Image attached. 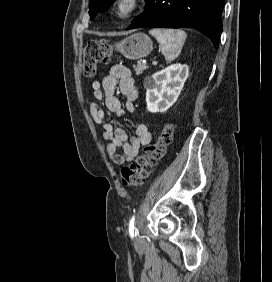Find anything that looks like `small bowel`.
<instances>
[{
	"instance_id": "c3829d8e",
	"label": "small bowel",
	"mask_w": 272,
	"mask_h": 282,
	"mask_svg": "<svg viewBox=\"0 0 272 282\" xmlns=\"http://www.w3.org/2000/svg\"><path fill=\"white\" fill-rule=\"evenodd\" d=\"M117 88L126 99L125 109H122L121 102L115 95ZM92 90L94 98L103 101L106 108L117 117L135 111V100L139 95V87L130 70L123 65H113L102 81L93 82ZM90 114L95 122L103 127L104 139L108 141L106 146L108 158L115 164H125L133 160L139 149L152 141V134L144 124L137 125L134 137L129 139L124 129L114 128L106 121L105 112L97 102L91 103ZM119 148L123 149L122 153L117 151Z\"/></svg>"
}]
</instances>
